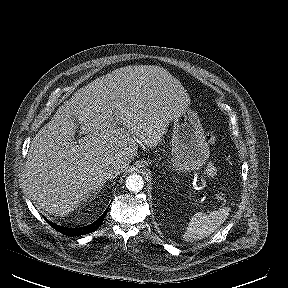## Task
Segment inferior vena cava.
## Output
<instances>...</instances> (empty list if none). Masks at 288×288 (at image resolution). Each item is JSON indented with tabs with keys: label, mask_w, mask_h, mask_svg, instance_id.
<instances>
[{
	"label": "inferior vena cava",
	"mask_w": 288,
	"mask_h": 288,
	"mask_svg": "<svg viewBox=\"0 0 288 288\" xmlns=\"http://www.w3.org/2000/svg\"><path fill=\"white\" fill-rule=\"evenodd\" d=\"M123 167L120 163H112V164H105L101 167L99 173L100 175L107 179V180H111L113 178H115L116 176H118L120 174V172L122 171Z\"/></svg>",
	"instance_id": "obj_1"
}]
</instances>
